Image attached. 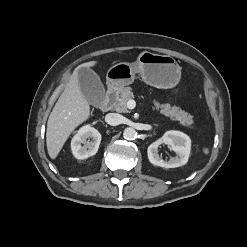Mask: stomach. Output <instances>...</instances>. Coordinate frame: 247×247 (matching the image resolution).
I'll return each instance as SVG.
<instances>
[{
  "label": "stomach",
  "mask_w": 247,
  "mask_h": 247,
  "mask_svg": "<svg viewBox=\"0 0 247 247\" xmlns=\"http://www.w3.org/2000/svg\"><path fill=\"white\" fill-rule=\"evenodd\" d=\"M137 73L146 84L163 89L175 87L181 78V68L173 57L144 51L135 63L112 66L106 74L107 84L111 89L120 90L132 84Z\"/></svg>",
  "instance_id": "stomach-1"
}]
</instances>
